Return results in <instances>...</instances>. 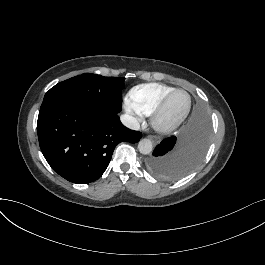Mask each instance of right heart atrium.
Segmentation results:
<instances>
[{
  "mask_svg": "<svg viewBox=\"0 0 265 265\" xmlns=\"http://www.w3.org/2000/svg\"><path fill=\"white\" fill-rule=\"evenodd\" d=\"M125 106H126V108L129 109L131 112H133V113H139V112L136 110V108L134 107V105H133L132 102H130V101L127 100V101L125 102Z\"/></svg>",
  "mask_w": 265,
  "mask_h": 265,
  "instance_id": "obj_1",
  "label": "right heart atrium"
}]
</instances>
